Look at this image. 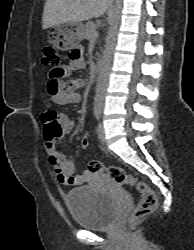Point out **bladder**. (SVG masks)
Returning <instances> with one entry per match:
<instances>
[{
	"instance_id": "obj_1",
	"label": "bladder",
	"mask_w": 194,
	"mask_h": 250,
	"mask_svg": "<svg viewBox=\"0 0 194 250\" xmlns=\"http://www.w3.org/2000/svg\"><path fill=\"white\" fill-rule=\"evenodd\" d=\"M66 206L74 222L86 229L99 230L110 227L118 215V199L85 185L65 194Z\"/></svg>"
}]
</instances>
